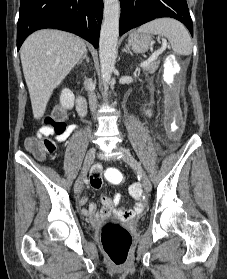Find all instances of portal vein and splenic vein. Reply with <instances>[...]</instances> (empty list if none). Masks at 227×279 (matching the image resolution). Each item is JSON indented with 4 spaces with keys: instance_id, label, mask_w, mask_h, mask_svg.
Instances as JSON below:
<instances>
[{
    "instance_id": "1",
    "label": "portal vein and splenic vein",
    "mask_w": 227,
    "mask_h": 279,
    "mask_svg": "<svg viewBox=\"0 0 227 279\" xmlns=\"http://www.w3.org/2000/svg\"><path fill=\"white\" fill-rule=\"evenodd\" d=\"M167 47V42L163 40L161 49L155 51L146 61L141 63V66L144 67L154 61Z\"/></svg>"
}]
</instances>
